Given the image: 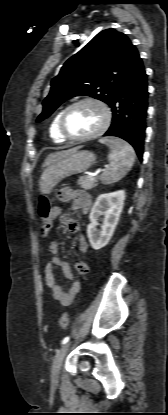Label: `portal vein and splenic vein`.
<instances>
[{"instance_id":"obj_1","label":"portal vein and splenic vein","mask_w":168,"mask_h":415,"mask_svg":"<svg viewBox=\"0 0 168 415\" xmlns=\"http://www.w3.org/2000/svg\"><path fill=\"white\" fill-rule=\"evenodd\" d=\"M96 174H89V177L94 178Z\"/></svg>"}]
</instances>
